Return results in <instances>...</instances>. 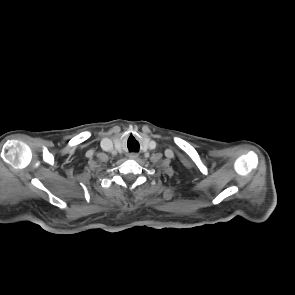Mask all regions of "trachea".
<instances>
[{"mask_svg":"<svg viewBox=\"0 0 295 295\" xmlns=\"http://www.w3.org/2000/svg\"><path fill=\"white\" fill-rule=\"evenodd\" d=\"M127 146H128V149H129L130 151H134V150H136V148H137V141H136V139H135L133 136H131V137L128 139Z\"/></svg>","mask_w":295,"mask_h":295,"instance_id":"1","label":"trachea"}]
</instances>
